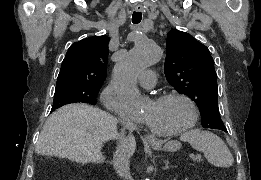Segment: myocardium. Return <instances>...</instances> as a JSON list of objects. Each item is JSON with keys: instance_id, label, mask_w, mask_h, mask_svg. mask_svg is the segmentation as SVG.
<instances>
[{"instance_id": "1", "label": "myocardium", "mask_w": 261, "mask_h": 180, "mask_svg": "<svg viewBox=\"0 0 261 180\" xmlns=\"http://www.w3.org/2000/svg\"><path fill=\"white\" fill-rule=\"evenodd\" d=\"M170 97H177L183 100L189 107L190 113H189V118L184 126V128L175 134L167 135V136H162L158 137L153 134H151L147 127L143 124L142 121H140L141 128L143 131V134L148 138V139H168V140H178L181 139L183 136H185L189 130L194 126L197 120L198 116V107L194 99H192L188 94H186L183 91L180 90H168L161 92L159 94L153 95L154 100H159V99H165V98H170Z\"/></svg>"}]
</instances>
